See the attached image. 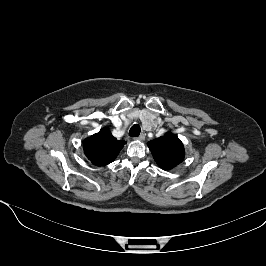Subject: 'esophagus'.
<instances>
[{
	"label": "esophagus",
	"mask_w": 266,
	"mask_h": 266,
	"mask_svg": "<svg viewBox=\"0 0 266 266\" xmlns=\"http://www.w3.org/2000/svg\"><path fill=\"white\" fill-rule=\"evenodd\" d=\"M135 139L140 140V141H143L145 139V134L142 133L138 137H135Z\"/></svg>",
	"instance_id": "esophagus-1"
}]
</instances>
